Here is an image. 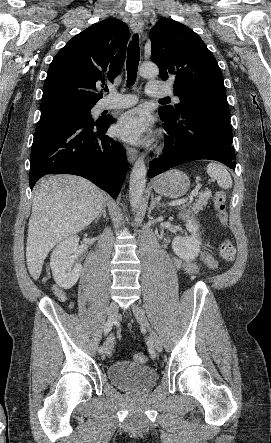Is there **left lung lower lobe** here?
I'll use <instances>...</instances> for the list:
<instances>
[{
    "instance_id": "1",
    "label": "left lung lower lobe",
    "mask_w": 271,
    "mask_h": 443,
    "mask_svg": "<svg viewBox=\"0 0 271 443\" xmlns=\"http://www.w3.org/2000/svg\"><path fill=\"white\" fill-rule=\"evenodd\" d=\"M163 128L164 153L149 163L150 178L193 160L219 161L235 170V150L227 105L208 101L193 112L172 117L159 109Z\"/></svg>"
}]
</instances>
